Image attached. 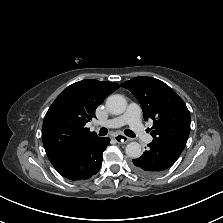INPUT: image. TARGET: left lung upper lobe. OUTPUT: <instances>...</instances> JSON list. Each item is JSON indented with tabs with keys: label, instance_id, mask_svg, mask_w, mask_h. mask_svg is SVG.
Returning <instances> with one entry per match:
<instances>
[{
	"label": "left lung upper lobe",
	"instance_id": "obj_1",
	"mask_svg": "<svg viewBox=\"0 0 223 223\" xmlns=\"http://www.w3.org/2000/svg\"><path fill=\"white\" fill-rule=\"evenodd\" d=\"M121 86L137 98L145 120L150 118L154 121L151 130L153 141L185 148L190 133V114L172 88L151 77H135Z\"/></svg>",
	"mask_w": 223,
	"mask_h": 223
}]
</instances>
